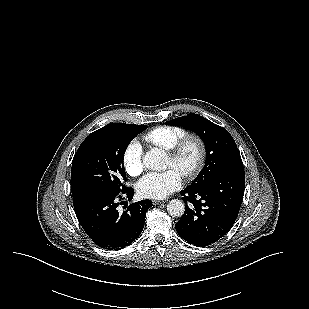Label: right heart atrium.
Returning <instances> with one entry per match:
<instances>
[{"label":"right heart atrium","instance_id":"obj_1","mask_svg":"<svg viewBox=\"0 0 309 309\" xmlns=\"http://www.w3.org/2000/svg\"><path fill=\"white\" fill-rule=\"evenodd\" d=\"M143 148L137 140L131 141L122 156L126 172L131 176H138L144 169Z\"/></svg>","mask_w":309,"mask_h":309}]
</instances>
